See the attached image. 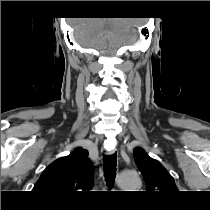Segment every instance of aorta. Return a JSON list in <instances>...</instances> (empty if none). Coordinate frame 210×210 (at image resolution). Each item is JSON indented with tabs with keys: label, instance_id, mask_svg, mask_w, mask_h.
I'll return each instance as SVG.
<instances>
[{
	"label": "aorta",
	"instance_id": "aorta-1",
	"mask_svg": "<svg viewBox=\"0 0 210 210\" xmlns=\"http://www.w3.org/2000/svg\"><path fill=\"white\" fill-rule=\"evenodd\" d=\"M118 184L125 191H134L141 187V180L135 173H121L118 178Z\"/></svg>",
	"mask_w": 210,
	"mask_h": 210
}]
</instances>
